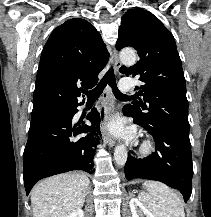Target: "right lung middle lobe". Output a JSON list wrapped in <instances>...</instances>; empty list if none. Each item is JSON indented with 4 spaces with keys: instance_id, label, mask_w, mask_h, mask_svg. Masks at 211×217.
I'll return each instance as SVG.
<instances>
[{
    "instance_id": "right-lung-middle-lobe-1",
    "label": "right lung middle lobe",
    "mask_w": 211,
    "mask_h": 217,
    "mask_svg": "<svg viewBox=\"0 0 211 217\" xmlns=\"http://www.w3.org/2000/svg\"><path fill=\"white\" fill-rule=\"evenodd\" d=\"M64 113H65V111L55 112V113H51V114L46 115V116L41 117V118H46V117H50V116L62 115V114H64Z\"/></svg>"
}]
</instances>
